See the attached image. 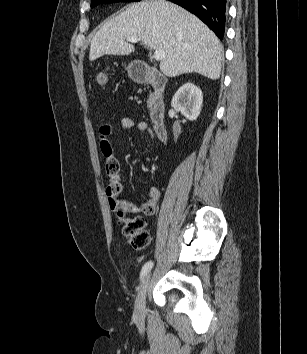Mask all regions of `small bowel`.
<instances>
[{
    "mask_svg": "<svg viewBox=\"0 0 307 354\" xmlns=\"http://www.w3.org/2000/svg\"><path fill=\"white\" fill-rule=\"evenodd\" d=\"M120 126L124 129H132L136 127L141 132L148 133L157 146L163 142L158 138L152 127L145 121L137 122L133 118L123 117L120 120ZM100 133L102 135L101 148L105 158L106 173L109 177V183L106 187V195L110 207L115 209V207L121 206L127 208L133 213H144L147 215L153 214L160 199V192L157 188L152 187L149 190L147 201L141 204H136L132 201L121 199L119 197L123 189L120 176V163L114 155L113 145L107 139V137L112 133V126L109 124L102 125L100 128Z\"/></svg>",
    "mask_w": 307,
    "mask_h": 354,
    "instance_id": "small-bowel-1",
    "label": "small bowel"
}]
</instances>
